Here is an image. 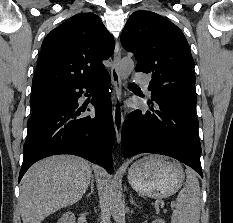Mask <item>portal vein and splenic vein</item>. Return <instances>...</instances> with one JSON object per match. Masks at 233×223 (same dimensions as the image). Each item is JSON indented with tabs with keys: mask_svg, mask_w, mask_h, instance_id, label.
<instances>
[{
	"mask_svg": "<svg viewBox=\"0 0 233 223\" xmlns=\"http://www.w3.org/2000/svg\"><path fill=\"white\" fill-rule=\"evenodd\" d=\"M171 207H175V205H171Z\"/></svg>",
	"mask_w": 233,
	"mask_h": 223,
	"instance_id": "portal-vein-and-splenic-vein-1",
	"label": "portal vein and splenic vein"
}]
</instances>
